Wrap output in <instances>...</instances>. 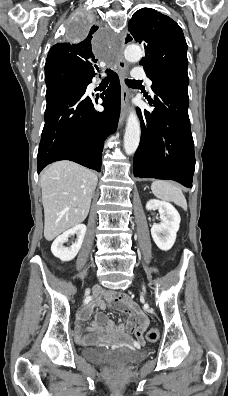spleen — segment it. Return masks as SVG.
Here are the masks:
<instances>
[{"instance_id": "3e777b00", "label": "spleen", "mask_w": 228, "mask_h": 396, "mask_svg": "<svg viewBox=\"0 0 228 396\" xmlns=\"http://www.w3.org/2000/svg\"><path fill=\"white\" fill-rule=\"evenodd\" d=\"M153 194L163 200L175 203L184 210H187V202L182 191L173 183L163 180H156L151 184Z\"/></svg>"}]
</instances>
